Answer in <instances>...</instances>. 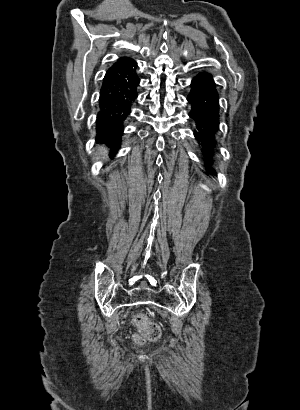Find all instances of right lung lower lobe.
Instances as JSON below:
<instances>
[{"instance_id": "right-lung-lower-lobe-1", "label": "right lung lower lobe", "mask_w": 300, "mask_h": 410, "mask_svg": "<svg viewBox=\"0 0 300 410\" xmlns=\"http://www.w3.org/2000/svg\"><path fill=\"white\" fill-rule=\"evenodd\" d=\"M136 69L134 60L121 58L108 69L100 89L97 136L115 150L120 147L124 121L138 95Z\"/></svg>"}]
</instances>
